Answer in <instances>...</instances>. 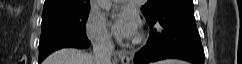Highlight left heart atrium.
Wrapping results in <instances>:
<instances>
[{
  "label": "left heart atrium",
  "instance_id": "39dd6f15",
  "mask_svg": "<svg viewBox=\"0 0 242 64\" xmlns=\"http://www.w3.org/2000/svg\"><path fill=\"white\" fill-rule=\"evenodd\" d=\"M138 16L132 9H123L115 14L113 19V33L119 38H131L138 29Z\"/></svg>",
  "mask_w": 242,
  "mask_h": 64
}]
</instances>
